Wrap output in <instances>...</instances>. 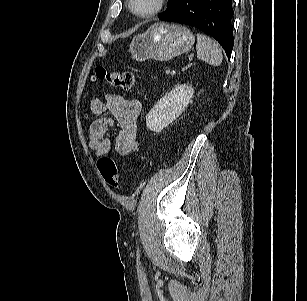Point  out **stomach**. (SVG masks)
Listing matches in <instances>:
<instances>
[{
	"instance_id": "stomach-1",
	"label": "stomach",
	"mask_w": 307,
	"mask_h": 301,
	"mask_svg": "<svg viewBox=\"0 0 307 301\" xmlns=\"http://www.w3.org/2000/svg\"><path fill=\"white\" fill-rule=\"evenodd\" d=\"M195 42L191 31L183 26L156 23L145 33L135 36L129 51L138 61L156 59L167 61L188 52Z\"/></svg>"
}]
</instances>
